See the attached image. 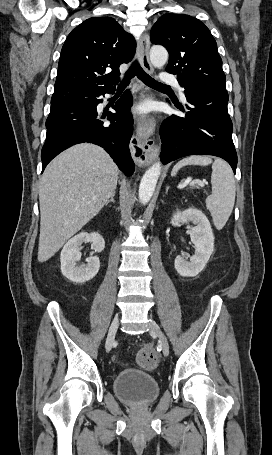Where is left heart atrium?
Returning a JSON list of instances; mask_svg holds the SVG:
<instances>
[{
  "instance_id": "obj_1",
  "label": "left heart atrium",
  "mask_w": 272,
  "mask_h": 455,
  "mask_svg": "<svg viewBox=\"0 0 272 455\" xmlns=\"http://www.w3.org/2000/svg\"><path fill=\"white\" fill-rule=\"evenodd\" d=\"M148 110V106L146 104H143L137 108V112L139 113H144Z\"/></svg>"
}]
</instances>
